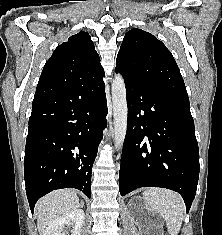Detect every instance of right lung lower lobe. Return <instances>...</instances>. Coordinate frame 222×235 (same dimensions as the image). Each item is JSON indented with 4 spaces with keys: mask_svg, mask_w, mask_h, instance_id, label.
<instances>
[{
    "mask_svg": "<svg viewBox=\"0 0 222 235\" xmlns=\"http://www.w3.org/2000/svg\"><path fill=\"white\" fill-rule=\"evenodd\" d=\"M103 76L71 85H37L24 158L32 213L37 200L56 189L76 188L91 197L92 166L107 126Z\"/></svg>",
    "mask_w": 222,
    "mask_h": 235,
    "instance_id": "right-lung-lower-lobe-1",
    "label": "right lung lower lobe"
}]
</instances>
